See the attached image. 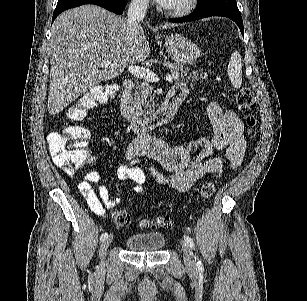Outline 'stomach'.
<instances>
[{
    "instance_id": "obj_1",
    "label": "stomach",
    "mask_w": 307,
    "mask_h": 301,
    "mask_svg": "<svg viewBox=\"0 0 307 301\" xmlns=\"http://www.w3.org/2000/svg\"><path fill=\"white\" fill-rule=\"evenodd\" d=\"M164 46L177 64H192L202 54L199 46L182 34L165 36Z\"/></svg>"
}]
</instances>
